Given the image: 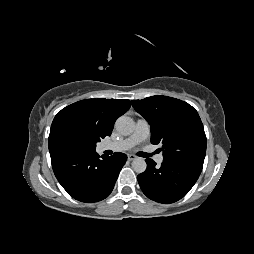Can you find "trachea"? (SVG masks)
<instances>
[{
  "label": "trachea",
  "mask_w": 254,
  "mask_h": 254,
  "mask_svg": "<svg viewBox=\"0 0 254 254\" xmlns=\"http://www.w3.org/2000/svg\"><path fill=\"white\" fill-rule=\"evenodd\" d=\"M152 154H150V153H144V152H140V153H138V156H141V157H149V156H151Z\"/></svg>",
  "instance_id": "3493384b"
}]
</instances>
